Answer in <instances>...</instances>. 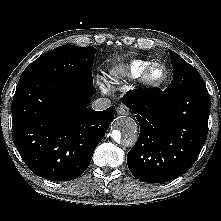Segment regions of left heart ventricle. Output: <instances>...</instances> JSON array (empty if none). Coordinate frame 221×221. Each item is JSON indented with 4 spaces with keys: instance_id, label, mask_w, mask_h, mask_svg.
Listing matches in <instances>:
<instances>
[{
    "instance_id": "obj_1",
    "label": "left heart ventricle",
    "mask_w": 221,
    "mask_h": 221,
    "mask_svg": "<svg viewBox=\"0 0 221 221\" xmlns=\"http://www.w3.org/2000/svg\"><path fill=\"white\" fill-rule=\"evenodd\" d=\"M163 74L164 70L161 67H157L152 71L151 78L154 80H159L160 78H162Z\"/></svg>"
}]
</instances>
